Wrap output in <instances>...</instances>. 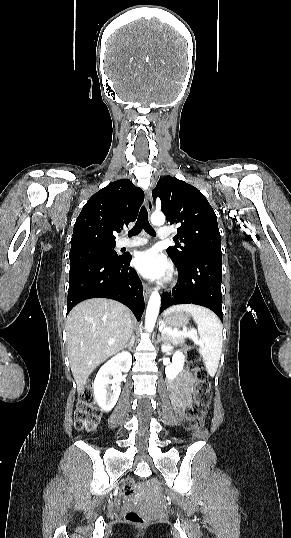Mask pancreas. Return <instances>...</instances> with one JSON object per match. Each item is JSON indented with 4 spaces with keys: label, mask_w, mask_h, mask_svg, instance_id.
Instances as JSON below:
<instances>
[{
    "label": "pancreas",
    "mask_w": 291,
    "mask_h": 538,
    "mask_svg": "<svg viewBox=\"0 0 291 538\" xmlns=\"http://www.w3.org/2000/svg\"><path fill=\"white\" fill-rule=\"evenodd\" d=\"M164 340L171 342L175 345L183 344L185 342L186 336L183 335H170L166 332L162 333Z\"/></svg>",
    "instance_id": "pancreas-1"
}]
</instances>
